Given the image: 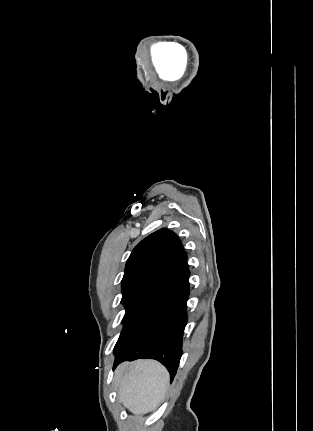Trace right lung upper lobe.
<instances>
[{
	"mask_svg": "<svg viewBox=\"0 0 313 431\" xmlns=\"http://www.w3.org/2000/svg\"><path fill=\"white\" fill-rule=\"evenodd\" d=\"M185 263L187 255L174 232L160 229L150 234L127 260L122 295L149 297Z\"/></svg>",
	"mask_w": 313,
	"mask_h": 431,
	"instance_id": "cb5924a9",
	"label": "right lung upper lobe"
}]
</instances>
